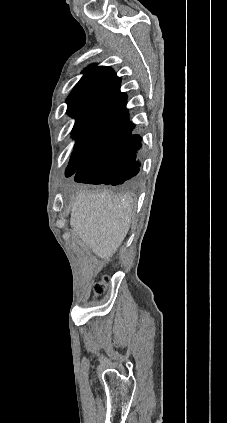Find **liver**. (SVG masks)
<instances>
[{"label":"liver","instance_id":"obj_1","mask_svg":"<svg viewBox=\"0 0 227 423\" xmlns=\"http://www.w3.org/2000/svg\"><path fill=\"white\" fill-rule=\"evenodd\" d=\"M132 196L111 192H77L70 225L93 253L108 261L123 243L131 225Z\"/></svg>","mask_w":227,"mask_h":423}]
</instances>
